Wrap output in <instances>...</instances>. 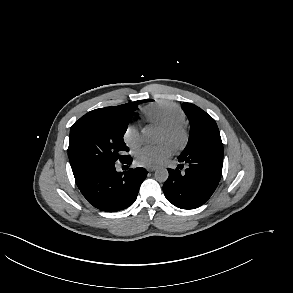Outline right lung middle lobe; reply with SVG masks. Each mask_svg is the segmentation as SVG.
<instances>
[{
  "label": "right lung middle lobe",
  "instance_id": "1",
  "mask_svg": "<svg viewBox=\"0 0 293 293\" xmlns=\"http://www.w3.org/2000/svg\"><path fill=\"white\" fill-rule=\"evenodd\" d=\"M144 100L121 105L110 112L80 118L71 127L68 155L72 169L93 174L99 169L123 162L129 155L123 136L132 113Z\"/></svg>",
  "mask_w": 293,
  "mask_h": 293
}]
</instances>
